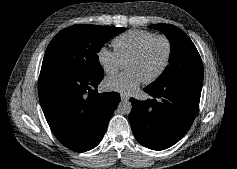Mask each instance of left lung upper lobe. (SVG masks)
Masks as SVG:
<instances>
[{"label":"left lung upper lobe","instance_id":"5c2ea615","mask_svg":"<svg viewBox=\"0 0 237 169\" xmlns=\"http://www.w3.org/2000/svg\"><path fill=\"white\" fill-rule=\"evenodd\" d=\"M149 27L164 33L171 45L169 65L150 85L155 86L189 76L203 75L201 57L185 32L171 24H156Z\"/></svg>","mask_w":237,"mask_h":169}]
</instances>
